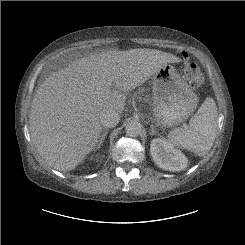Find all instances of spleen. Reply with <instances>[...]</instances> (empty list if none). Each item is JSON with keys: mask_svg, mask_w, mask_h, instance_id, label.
I'll use <instances>...</instances> for the list:
<instances>
[{"mask_svg": "<svg viewBox=\"0 0 245 245\" xmlns=\"http://www.w3.org/2000/svg\"><path fill=\"white\" fill-rule=\"evenodd\" d=\"M217 127V106L213 98L207 97L197 113L190 119L189 127L171 130L168 140L179 148L203 156L213 146Z\"/></svg>", "mask_w": 245, "mask_h": 245, "instance_id": "3e777b00", "label": "spleen"}]
</instances>
